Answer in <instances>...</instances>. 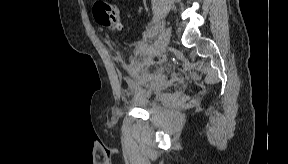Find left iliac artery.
Here are the masks:
<instances>
[{
  "label": "left iliac artery",
  "instance_id": "obj_1",
  "mask_svg": "<svg viewBox=\"0 0 288 164\" xmlns=\"http://www.w3.org/2000/svg\"><path fill=\"white\" fill-rule=\"evenodd\" d=\"M156 34H157V30L156 28L154 29L153 31V43L149 46V49H148V52H147V55L150 56L151 53L153 52V49L155 48L156 44H157V40H156Z\"/></svg>",
  "mask_w": 288,
  "mask_h": 164
}]
</instances>
